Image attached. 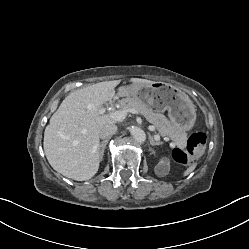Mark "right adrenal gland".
Instances as JSON below:
<instances>
[{"instance_id": "obj_1", "label": "right adrenal gland", "mask_w": 249, "mask_h": 249, "mask_svg": "<svg viewBox=\"0 0 249 249\" xmlns=\"http://www.w3.org/2000/svg\"><path fill=\"white\" fill-rule=\"evenodd\" d=\"M109 139L103 140L100 144H99V152H100V158L103 159V155H104V150L106 147V144L108 143Z\"/></svg>"}]
</instances>
